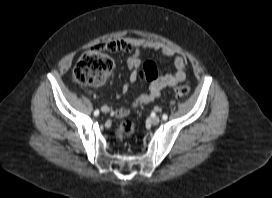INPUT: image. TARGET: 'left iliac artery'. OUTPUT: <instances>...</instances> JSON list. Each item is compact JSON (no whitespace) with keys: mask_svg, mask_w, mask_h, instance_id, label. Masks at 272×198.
Returning <instances> with one entry per match:
<instances>
[{"mask_svg":"<svg viewBox=\"0 0 272 198\" xmlns=\"http://www.w3.org/2000/svg\"><path fill=\"white\" fill-rule=\"evenodd\" d=\"M167 118H168V116H167L166 114H163V115H162V119H163V120H167Z\"/></svg>","mask_w":272,"mask_h":198,"instance_id":"obj_1","label":"left iliac artery"}]
</instances>
